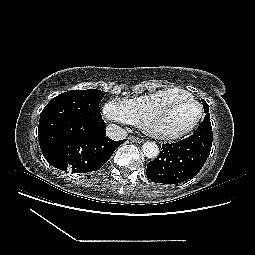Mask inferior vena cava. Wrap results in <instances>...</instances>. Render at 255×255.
<instances>
[{"mask_svg": "<svg viewBox=\"0 0 255 255\" xmlns=\"http://www.w3.org/2000/svg\"><path fill=\"white\" fill-rule=\"evenodd\" d=\"M106 134L110 139L115 141L123 140L127 137L126 130L116 124L108 125L106 127Z\"/></svg>", "mask_w": 255, "mask_h": 255, "instance_id": "inferior-vena-cava-1", "label": "inferior vena cava"}]
</instances>
